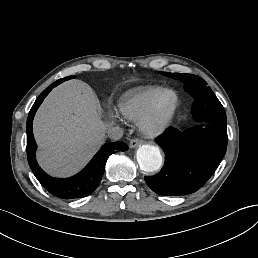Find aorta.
<instances>
[{"instance_id":"obj_1","label":"aorta","mask_w":258,"mask_h":258,"mask_svg":"<svg viewBox=\"0 0 258 258\" xmlns=\"http://www.w3.org/2000/svg\"><path fill=\"white\" fill-rule=\"evenodd\" d=\"M137 162L141 170L146 172L157 171L162 165V155L157 146L142 145L136 153Z\"/></svg>"}]
</instances>
